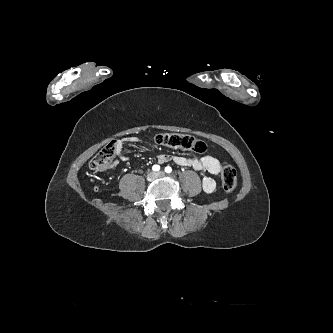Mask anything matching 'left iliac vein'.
Listing matches in <instances>:
<instances>
[{
    "label": "left iliac vein",
    "instance_id": "obj_1",
    "mask_svg": "<svg viewBox=\"0 0 333 333\" xmlns=\"http://www.w3.org/2000/svg\"><path fill=\"white\" fill-rule=\"evenodd\" d=\"M162 176H164V172L160 171L156 173V177H162Z\"/></svg>",
    "mask_w": 333,
    "mask_h": 333
}]
</instances>
